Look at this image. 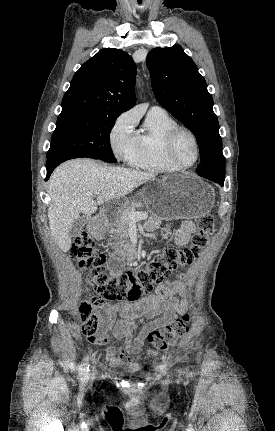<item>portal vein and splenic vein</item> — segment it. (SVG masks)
<instances>
[{"label":"portal vein and splenic vein","instance_id":"18ae733b","mask_svg":"<svg viewBox=\"0 0 275 431\" xmlns=\"http://www.w3.org/2000/svg\"><path fill=\"white\" fill-rule=\"evenodd\" d=\"M100 192H101L100 190H96L95 195L100 194ZM147 217H148L147 212L130 211L127 213V218L129 221H138V220L146 219Z\"/></svg>","mask_w":275,"mask_h":431}]
</instances>
